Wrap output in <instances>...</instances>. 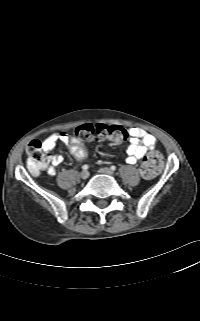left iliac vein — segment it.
Returning a JSON list of instances; mask_svg holds the SVG:
<instances>
[{
    "label": "left iliac vein",
    "mask_w": 200,
    "mask_h": 321,
    "mask_svg": "<svg viewBox=\"0 0 200 321\" xmlns=\"http://www.w3.org/2000/svg\"><path fill=\"white\" fill-rule=\"evenodd\" d=\"M99 172L107 175H113V171L107 167L101 168Z\"/></svg>",
    "instance_id": "1"
}]
</instances>
